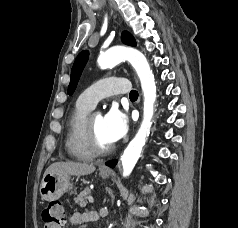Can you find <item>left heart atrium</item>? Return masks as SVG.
<instances>
[{"instance_id":"left-heart-atrium-1","label":"left heart atrium","mask_w":238,"mask_h":228,"mask_svg":"<svg viewBox=\"0 0 238 228\" xmlns=\"http://www.w3.org/2000/svg\"><path fill=\"white\" fill-rule=\"evenodd\" d=\"M106 137L113 144L123 138L128 131V118L119 109L111 108L103 117Z\"/></svg>"}]
</instances>
